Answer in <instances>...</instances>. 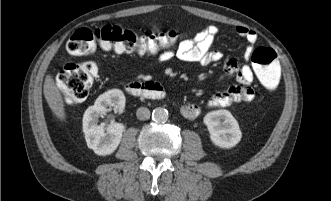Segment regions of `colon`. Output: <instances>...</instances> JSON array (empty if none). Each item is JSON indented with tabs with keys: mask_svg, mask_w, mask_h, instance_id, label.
Masks as SVG:
<instances>
[{
	"mask_svg": "<svg viewBox=\"0 0 331 201\" xmlns=\"http://www.w3.org/2000/svg\"><path fill=\"white\" fill-rule=\"evenodd\" d=\"M177 40L178 35L173 30L138 35L119 26L104 25L78 29L66 47L70 54L77 56L90 54L98 46L119 53L156 54L171 48ZM251 60L261 84L268 90H276L281 81V67L276 52L260 47L253 51ZM97 75L98 69L92 62L68 63L58 74L57 85L67 102L77 103L88 96Z\"/></svg>",
	"mask_w": 331,
	"mask_h": 201,
	"instance_id": "obj_1",
	"label": "colon"
}]
</instances>
